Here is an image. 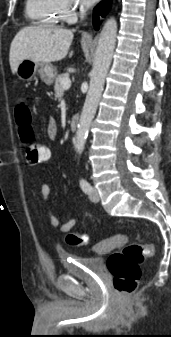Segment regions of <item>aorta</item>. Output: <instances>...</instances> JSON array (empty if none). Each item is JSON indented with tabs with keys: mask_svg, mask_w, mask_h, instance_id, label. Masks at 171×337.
I'll return each mask as SVG.
<instances>
[{
	"mask_svg": "<svg viewBox=\"0 0 171 337\" xmlns=\"http://www.w3.org/2000/svg\"><path fill=\"white\" fill-rule=\"evenodd\" d=\"M117 35L115 18L106 21L100 33L93 68L90 73L89 90L77 126L75 147L79 154L84 150L89 128L102 94L105 77L111 64Z\"/></svg>",
	"mask_w": 171,
	"mask_h": 337,
	"instance_id": "aorta-1",
	"label": "aorta"
}]
</instances>
